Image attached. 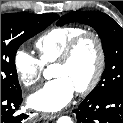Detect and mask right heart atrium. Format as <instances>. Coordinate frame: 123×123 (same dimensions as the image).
I'll return each mask as SVG.
<instances>
[{
	"label": "right heart atrium",
	"mask_w": 123,
	"mask_h": 123,
	"mask_svg": "<svg viewBox=\"0 0 123 123\" xmlns=\"http://www.w3.org/2000/svg\"><path fill=\"white\" fill-rule=\"evenodd\" d=\"M13 65L19 81L27 88L35 86L42 75V62L29 51L19 48L13 56Z\"/></svg>",
	"instance_id": "d8ad5b80"
}]
</instances>
